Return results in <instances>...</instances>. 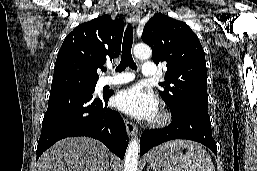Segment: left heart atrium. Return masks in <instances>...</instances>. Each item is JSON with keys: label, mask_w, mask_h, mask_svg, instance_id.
Instances as JSON below:
<instances>
[{"label": "left heart atrium", "mask_w": 257, "mask_h": 171, "mask_svg": "<svg viewBox=\"0 0 257 171\" xmlns=\"http://www.w3.org/2000/svg\"><path fill=\"white\" fill-rule=\"evenodd\" d=\"M114 105L138 119H152L158 110L156 97L139 85L120 91L114 99Z\"/></svg>", "instance_id": "39dd6f15"}]
</instances>
